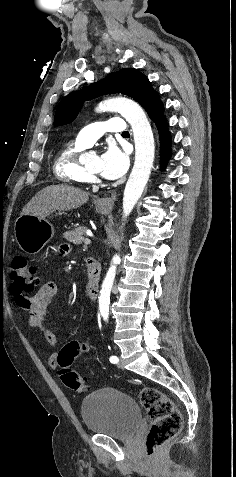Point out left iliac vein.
Masks as SVG:
<instances>
[{
    "mask_svg": "<svg viewBox=\"0 0 236 477\" xmlns=\"http://www.w3.org/2000/svg\"><path fill=\"white\" fill-rule=\"evenodd\" d=\"M118 367L121 368V369L123 368V362H122V360L119 361Z\"/></svg>",
    "mask_w": 236,
    "mask_h": 477,
    "instance_id": "1",
    "label": "left iliac vein"
}]
</instances>
